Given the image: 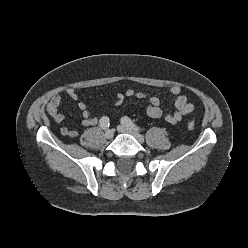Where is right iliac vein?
I'll return each instance as SVG.
<instances>
[{
    "label": "right iliac vein",
    "instance_id": "1",
    "mask_svg": "<svg viewBox=\"0 0 248 248\" xmlns=\"http://www.w3.org/2000/svg\"><path fill=\"white\" fill-rule=\"evenodd\" d=\"M113 136H114V132H113L112 129H109V130L106 131L105 137H106L107 139H112Z\"/></svg>",
    "mask_w": 248,
    "mask_h": 248
}]
</instances>
